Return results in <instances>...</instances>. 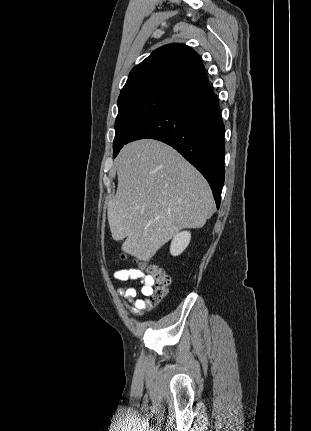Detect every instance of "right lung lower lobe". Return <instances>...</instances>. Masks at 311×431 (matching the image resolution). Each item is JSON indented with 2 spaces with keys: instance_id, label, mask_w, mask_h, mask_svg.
Instances as JSON below:
<instances>
[{
  "instance_id": "obj_1",
  "label": "right lung lower lobe",
  "mask_w": 311,
  "mask_h": 431,
  "mask_svg": "<svg viewBox=\"0 0 311 431\" xmlns=\"http://www.w3.org/2000/svg\"><path fill=\"white\" fill-rule=\"evenodd\" d=\"M224 124L208 85L186 93L142 123L128 143L150 138L175 148L209 182L219 208L224 184Z\"/></svg>"
}]
</instances>
